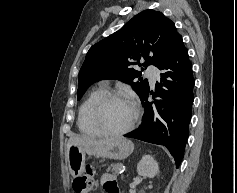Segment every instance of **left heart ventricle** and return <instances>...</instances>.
I'll list each match as a JSON object with an SVG mask.
<instances>
[{
  "instance_id": "b2bd125f",
  "label": "left heart ventricle",
  "mask_w": 237,
  "mask_h": 193,
  "mask_svg": "<svg viewBox=\"0 0 237 193\" xmlns=\"http://www.w3.org/2000/svg\"><path fill=\"white\" fill-rule=\"evenodd\" d=\"M134 108L131 103L120 99L106 101L99 111L100 124L112 131L127 127L133 119Z\"/></svg>"
}]
</instances>
